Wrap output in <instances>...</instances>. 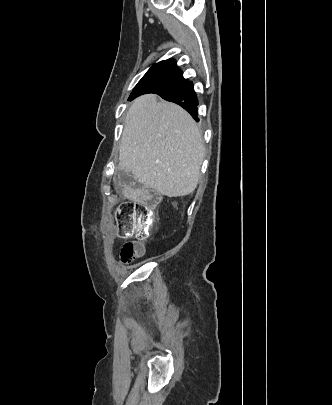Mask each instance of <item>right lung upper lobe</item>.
<instances>
[{
  "label": "right lung upper lobe",
  "instance_id": "cb5924a9",
  "mask_svg": "<svg viewBox=\"0 0 332 405\" xmlns=\"http://www.w3.org/2000/svg\"><path fill=\"white\" fill-rule=\"evenodd\" d=\"M148 72L161 73L170 76L183 77V73L176 66L174 59H168L154 64Z\"/></svg>",
  "mask_w": 332,
  "mask_h": 405
}]
</instances>
